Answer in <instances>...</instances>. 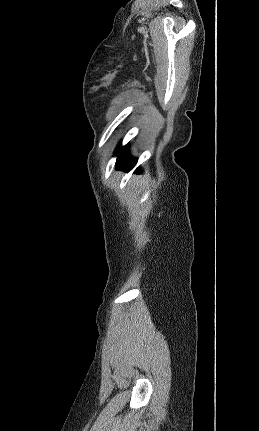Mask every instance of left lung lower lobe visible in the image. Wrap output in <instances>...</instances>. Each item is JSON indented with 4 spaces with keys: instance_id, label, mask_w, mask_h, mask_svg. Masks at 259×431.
Returning <instances> with one entry per match:
<instances>
[{
    "instance_id": "left-lung-lower-lobe-1",
    "label": "left lung lower lobe",
    "mask_w": 259,
    "mask_h": 431,
    "mask_svg": "<svg viewBox=\"0 0 259 431\" xmlns=\"http://www.w3.org/2000/svg\"><path fill=\"white\" fill-rule=\"evenodd\" d=\"M115 155H117L116 168L118 169L129 171L136 165L137 160L131 158L128 152V144L124 147H121L119 144L116 148ZM137 173H139V171H137Z\"/></svg>"
}]
</instances>
